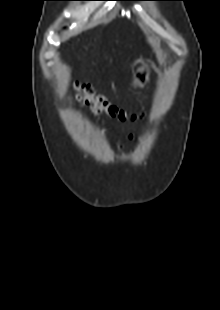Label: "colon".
Here are the masks:
<instances>
[{
	"label": "colon",
	"instance_id": "1",
	"mask_svg": "<svg viewBox=\"0 0 220 310\" xmlns=\"http://www.w3.org/2000/svg\"><path fill=\"white\" fill-rule=\"evenodd\" d=\"M74 98L90 106L94 112L103 114L111 119L127 120L128 114L111 104L104 96L96 94L89 84L75 83L73 85Z\"/></svg>",
	"mask_w": 220,
	"mask_h": 310
}]
</instances>
